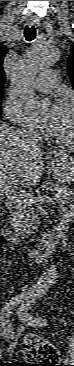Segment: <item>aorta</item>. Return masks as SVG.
<instances>
[{
    "label": "aorta",
    "instance_id": "aorta-1",
    "mask_svg": "<svg viewBox=\"0 0 74 366\" xmlns=\"http://www.w3.org/2000/svg\"><path fill=\"white\" fill-rule=\"evenodd\" d=\"M59 59V49L50 43L37 41L22 56L14 81L18 94L33 107L44 102L35 93L33 86L36 76L44 69L54 66Z\"/></svg>",
    "mask_w": 74,
    "mask_h": 366
}]
</instances>
